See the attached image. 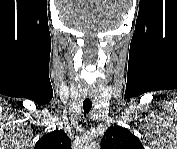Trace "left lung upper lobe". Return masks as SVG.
I'll return each instance as SVG.
<instances>
[{
  "label": "left lung upper lobe",
  "instance_id": "5c2ea615",
  "mask_svg": "<svg viewBox=\"0 0 177 149\" xmlns=\"http://www.w3.org/2000/svg\"><path fill=\"white\" fill-rule=\"evenodd\" d=\"M102 149H142L138 137L131 134L128 129L120 126H111L101 139Z\"/></svg>",
  "mask_w": 177,
  "mask_h": 149
}]
</instances>
